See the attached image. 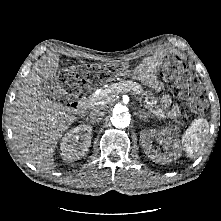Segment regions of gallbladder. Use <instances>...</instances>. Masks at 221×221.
<instances>
[{"mask_svg":"<svg viewBox=\"0 0 221 221\" xmlns=\"http://www.w3.org/2000/svg\"><path fill=\"white\" fill-rule=\"evenodd\" d=\"M43 92L50 98L58 99L63 91L59 81L56 79L48 80L42 84Z\"/></svg>","mask_w":221,"mask_h":221,"instance_id":"bac80fb5","label":"gallbladder"}]
</instances>
